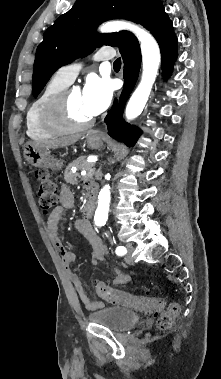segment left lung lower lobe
<instances>
[{"mask_svg":"<svg viewBox=\"0 0 221 379\" xmlns=\"http://www.w3.org/2000/svg\"><path fill=\"white\" fill-rule=\"evenodd\" d=\"M143 26L150 30L160 46L163 75L167 77L171 73L173 63L177 59V37L174 34L173 24L164 11L161 2L152 8L144 20ZM118 47L125 64V84L119 104L115 100L104 121L108 126V134L111 137L124 142L127 146H132L141 131L123 121L122 113L139 74L141 52L139 43L133 34L127 36Z\"/></svg>","mask_w":221,"mask_h":379,"instance_id":"obj_1","label":"left lung lower lobe"}]
</instances>
